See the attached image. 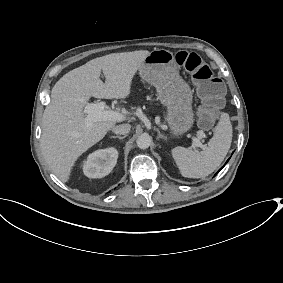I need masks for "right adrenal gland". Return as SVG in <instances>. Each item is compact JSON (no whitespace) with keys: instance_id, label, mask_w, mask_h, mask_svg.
I'll return each mask as SVG.
<instances>
[{"instance_id":"1","label":"right adrenal gland","mask_w":283,"mask_h":283,"mask_svg":"<svg viewBox=\"0 0 283 283\" xmlns=\"http://www.w3.org/2000/svg\"><path fill=\"white\" fill-rule=\"evenodd\" d=\"M126 137H127V135H124V136H119V135L110 136V138H119V139H124Z\"/></svg>"}]
</instances>
